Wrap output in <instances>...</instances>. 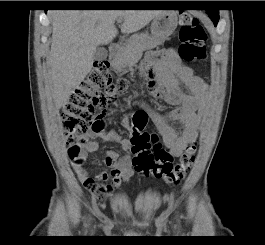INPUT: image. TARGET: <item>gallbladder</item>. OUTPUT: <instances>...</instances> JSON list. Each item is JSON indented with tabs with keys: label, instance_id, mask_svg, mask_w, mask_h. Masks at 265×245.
<instances>
[{
	"label": "gallbladder",
	"instance_id": "obj_1",
	"mask_svg": "<svg viewBox=\"0 0 265 245\" xmlns=\"http://www.w3.org/2000/svg\"><path fill=\"white\" fill-rule=\"evenodd\" d=\"M108 52L104 47H97L94 52V60L103 61L107 58Z\"/></svg>",
	"mask_w": 265,
	"mask_h": 245
}]
</instances>
